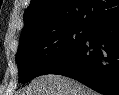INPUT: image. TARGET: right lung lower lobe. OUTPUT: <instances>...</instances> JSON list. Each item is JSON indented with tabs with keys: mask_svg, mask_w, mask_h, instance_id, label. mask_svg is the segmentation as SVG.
I'll list each match as a JSON object with an SVG mask.
<instances>
[{
	"mask_svg": "<svg viewBox=\"0 0 119 95\" xmlns=\"http://www.w3.org/2000/svg\"><path fill=\"white\" fill-rule=\"evenodd\" d=\"M43 74L73 78L104 95H119V17L90 29Z\"/></svg>",
	"mask_w": 119,
	"mask_h": 95,
	"instance_id": "right-lung-lower-lobe-1",
	"label": "right lung lower lobe"
}]
</instances>
